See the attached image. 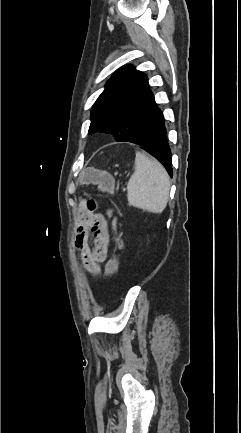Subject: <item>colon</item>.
Returning a JSON list of instances; mask_svg holds the SVG:
<instances>
[{"label":"colon","instance_id":"1","mask_svg":"<svg viewBox=\"0 0 241 433\" xmlns=\"http://www.w3.org/2000/svg\"><path fill=\"white\" fill-rule=\"evenodd\" d=\"M83 177L82 182L85 184L94 183L98 184L99 189L101 191L109 192L113 186V178L111 174L105 170H94L93 168H84L83 169ZM90 209L95 210L97 207V203L95 201H91ZM118 270V259L114 255L112 256L105 265V274L108 278H112Z\"/></svg>","mask_w":241,"mask_h":433}]
</instances>
